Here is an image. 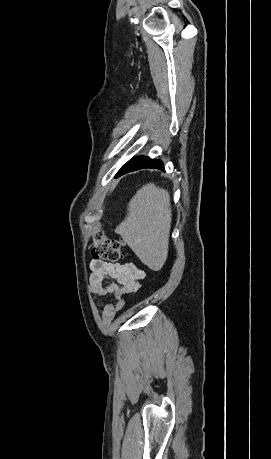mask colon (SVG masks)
I'll return each mask as SVG.
<instances>
[{
    "instance_id": "5ec220e1",
    "label": "colon",
    "mask_w": 271,
    "mask_h": 459,
    "mask_svg": "<svg viewBox=\"0 0 271 459\" xmlns=\"http://www.w3.org/2000/svg\"><path fill=\"white\" fill-rule=\"evenodd\" d=\"M122 247L121 241L110 239L98 233L91 243V252L97 260L115 262L122 256Z\"/></svg>"
}]
</instances>
